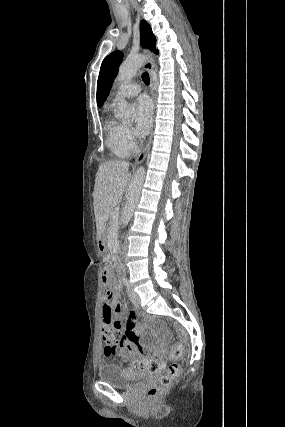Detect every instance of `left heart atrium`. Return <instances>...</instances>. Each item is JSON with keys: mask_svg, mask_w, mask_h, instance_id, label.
<instances>
[{"mask_svg": "<svg viewBox=\"0 0 285 427\" xmlns=\"http://www.w3.org/2000/svg\"><path fill=\"white\" fill-rule=\"evenodd\" d=\"M134 117L137 134L140 136L146 135L153 117V108L148 98L140 97L137 99Z\"/></svg>", "mask_w": 285, "mask_h": 427, "instance_id": "39dd6f15", "label": "left heart atrium"}]
</instances>
